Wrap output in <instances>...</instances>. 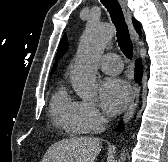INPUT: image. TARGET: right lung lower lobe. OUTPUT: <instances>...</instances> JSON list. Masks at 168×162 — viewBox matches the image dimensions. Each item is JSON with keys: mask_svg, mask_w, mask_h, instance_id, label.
I'll list each match as a JSON object with an SVG mask.
<instances>
[{"mask_svg": "<svg viewBox=\"0 0 168 162\" xmlns=\"http://www.w3.org/2000/svg\"><path fill=\"white\" fill-rule=\"evenodd\" d=\"M141 77H142V66L139 62H137L136 70H135V79L137 81H140ZM121 129H122V122H120V125H119V130H121Z\"/></svg>", "mask_w": 168, "mask_h": 162, "instance_id": "1", "label": "right lung lower lobe"}]
</instances>
